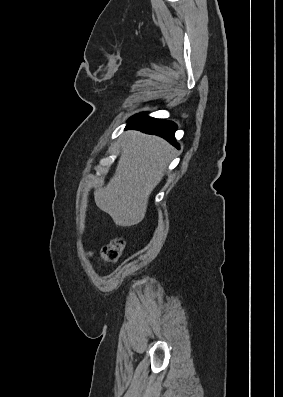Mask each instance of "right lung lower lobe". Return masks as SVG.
Returning <instances> with one entry per match:
<instances>
[{
	"mask_svg": "<svg viewBox=\"0 0 283 397\" xmlns=\"http://www.w3.org/2000/svg\"><path fill=\"white\" fill-rule=\"evenodd\" d=\"M127 128L136 129L147 134L158 135L179 148L174 138L177 125L171 121L155 119L144 113H140L130 118Z\"/></svg>",
	"mask_w": 283,
	"mask_h": 397,
	"instance_id": "obj_1",
	"label": "right lung lower lobe"
}]
</instances>
